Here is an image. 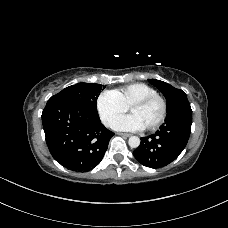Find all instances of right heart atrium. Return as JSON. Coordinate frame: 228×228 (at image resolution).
Segmentation results:
<instances>
[{"mask_svg":"<svg viewBox=\"0 0 228 228\" xmlns=\"http://www.w3.org/2000/svg\"><path fill=\"white\" fill-rule=\"evenodd\" d=\"M96 108L102 122L106 126H112L113 122L128 109L112 90L102 91L98 95Z\"/></svg>","mask_w":228,"mask_h":228,"instance_id":"d8ad5b80","label":"right heart atrium"}]
</instances>
